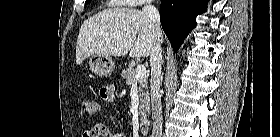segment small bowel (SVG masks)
<instances>
[{"instance_id": "obj_1", "label": "small bowel", "mask_w": 280, "mask_h": 137, "mask_svg": "<svg viewBox=\"0 0 280 137\" xmlns=\"http://www.w3.org/2000/svg\"><path fill=\"white\" fill-rule=\"evenodd\" d=\"M106 91L108 93H113L115 95V87L114 85H107V86H104L102 89H101V96H102V93L103 91ZM98 133L100 134V137H124L123 134L121 133H112L110 134V131L108 129V127L101 121H98L96 123H94L90 128H88L85 132H84V137H89V135L91 133Z\"/></svg>"}]
</instances>
